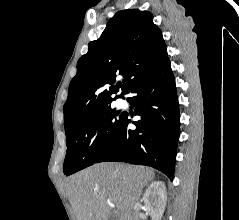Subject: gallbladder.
<instances>
[{
  "mask_svg": "<svg viewBox=\"0 0 239 220\" xmlns=\"http://www.w3.org/2000/svg\"><path fill=\"white\" fill-rule=\"evenodd\" d=\"M109 220H116L114 216H111Z\"/></svg>",
  "mask_w": 239,
  "mask_h": 220,
  "instance_id": "gallbladder-1",
  "label": "gallbladder"
}]
</instances>
